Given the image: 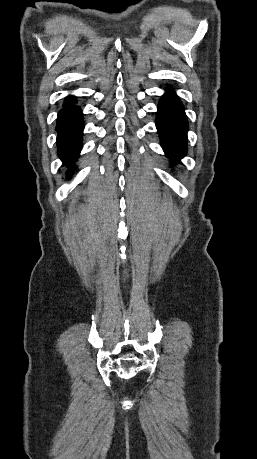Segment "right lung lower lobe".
Listing matches in <instances>:
<instances>
[{
  "mask_svg": "<svg viewBox=\"0 0 257 459\" xmlns=\"http://www.w3.org/2000/svg\"><path fill=\"white\" fill-rule=\"evenodd\" d=\"M75 103L74 97H68L57 118L58 154L65 165H70L78 159L82 146L84 123L81 110L74 105ZM73 169L74 166H72L68 175L72 173Z\"/></svg>",
  "mask_w": 257,
  "mask_h": 459,
  "instance_id": "right-lung-lower-lobe-1",
  "label": "right lung lower lobe"
}]
</instances>
